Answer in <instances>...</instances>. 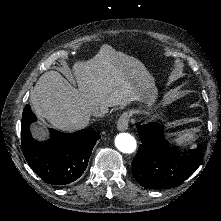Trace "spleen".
Here are the masks:
<instances>
[{
    "instance_id": "obj_1",
    "label": "spleen",
    "mask_w": 221,
    "mask_h": 221,
    "mask_svg": "<svg viewBox=\"0 0 221 221\" xmlns=\"http://www.w3.org/2000/svg\"><path fill=\"white\" fill-rule=\"evenodd\" d=\"M195 140V137L193 134H186V135H182L178 138L175 139V142H177L178 144H182L186 141H192Z\"/></svg>"
}]
</instances>
